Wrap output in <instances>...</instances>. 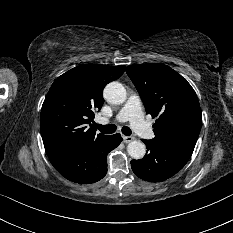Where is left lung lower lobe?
Masks as SVG:
<instances>
[{"mask_svg": "<svg viewBox=\"0 0 233 233\" xmlns=\"http://www.w3.org/2000/svg\"><path fill=\"white\" fill-rule=\"evenodd\" d=\"M147 152L143 159L132 160L133 172L141 179L161 182L176 174L190 159L194 146L184 143L143 140Z\"/></svg>", "mask_w": 233, "mask_h": 233, "instance_id": "1", "label": "left lung lower lobe"}]
</instances>
